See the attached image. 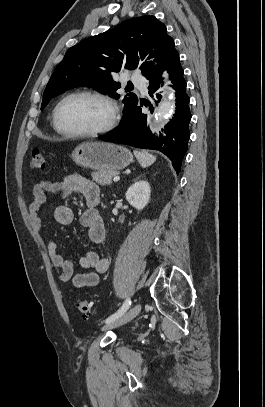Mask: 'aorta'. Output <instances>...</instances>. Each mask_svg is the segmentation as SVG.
<instances>
[{"instance_id": "762f6f07", "label": "aorta", "mask_w": 265, "mask_h": 407, "mask_svg": "<svg viewBox=\"0 0 265 407\" xmlns=\"http://www.w3.org/2000/svg\"><path fill=\"white\" fill-rule=\"evenodd\" d=\"M174 108L175 104L173 101V94L170 92L168 93V96L163 98V101L160 103L154 122L162 123L166 121L172 115Z\"/></svg>"}]
</instances>
